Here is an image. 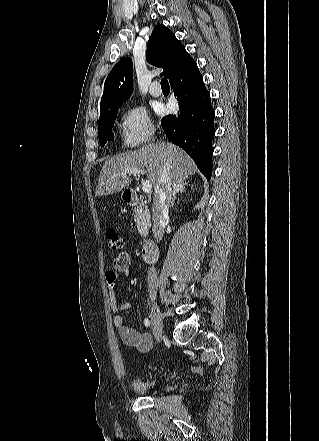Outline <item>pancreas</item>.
Listing matches in <instances>:
<instances>
[{
	"label": "pancreas",
	"instance_id": "1",
	"mask_svg": "<svg viewBox=\"0 0 319 441\" xmlns=\"http://www.w3.org/2000/svg\"><path fill=\"white\" fill-rule=\"evenodd\" d=\"M134 221L137 224V229L142 238L148 235V230L151 226V217L149 209L143 203L137 206L134 210Z\"/></svg>",
	"mask_w": 319,
	"mask_h": 441
}]
</instances>
